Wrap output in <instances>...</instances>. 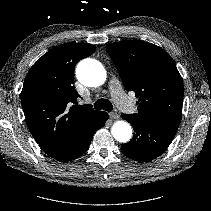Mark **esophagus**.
<instances>
[{
    "label": "esophagus",
    "instance_id": "34e87169",
    "mask_svg": "<svg viewBox=\"0 0 211 211\" xmlns=\"http://www.w3.org/2000/svg\"><path fill=\"white\" fill-rule=\"evenodd\" d=\"M109 116L111 119H119L120 118L119 114L116 112L109 113Z\"/></svg>",
    "mask_w": 211,
    "mask_h": 211
}]
</instances>
